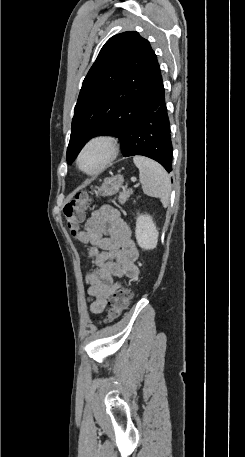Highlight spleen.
Masks as SVG:
<instances>
[{
  "label": "spleen",
  "mask_w": 245,
  "mask_h": 457,
  "mask_svg": "<svg viewBox=\"0 0 245 457\" xmlns=\"http://www.w3.org/2000/svg\"><path fill=\"white\" fill-rule=\"evenodd\" d=\"M134 164L139 168V178L143 192L148 196L160 198L163 206H168L171 194V182L165 168L147 156L135 154Z\"/></svg>",
  "instance_id": "3e777b00"
}]
</instances>
